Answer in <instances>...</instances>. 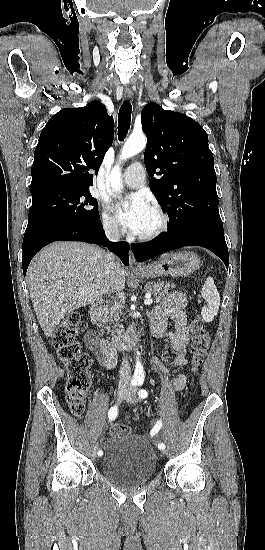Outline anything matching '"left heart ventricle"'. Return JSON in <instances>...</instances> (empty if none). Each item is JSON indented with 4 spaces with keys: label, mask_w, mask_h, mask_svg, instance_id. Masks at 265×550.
Masks as SVG:
<instances>
[{
    "label": "left heart ventricle",
    "mask_w": 265,
    "mask_h": 550,
    "mask_svg": "<svg viewBox=\"0 0 265 550\" xmlns=\"http://www.w3.org/2000/svg\"><path fill=\"white\" fill-rule=\"evenodd\" d=\"M159 224L158 217L150 210L144 219L138 234H143L154 230Z\"/></svg>",
    "instance_id": "b2bd125f"
}]
</instances>
